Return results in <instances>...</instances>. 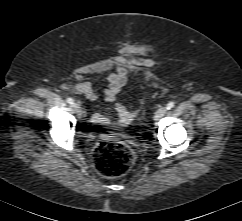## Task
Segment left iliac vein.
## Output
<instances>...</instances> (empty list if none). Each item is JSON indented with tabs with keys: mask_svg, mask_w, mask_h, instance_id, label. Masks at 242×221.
Instances as JSON below:
<instances>
[{
	"mask_svg": "<svg viewBox=\"0 0 242 221\" xmlns=\"http://www.w3.org/2000/svg\"><path fill=\"white\" fill-rule=\"evenodd\" d=\"M165 113H166V108L165 107H160L155 112V118L156 119H160V118H162L165 115Z\"/></svg>",
	"mask_w": 242,
	"mask_h": 221,
	"instance_id": "4c4485c4",
	"label": "left iliac vein"
}]
</instances>
